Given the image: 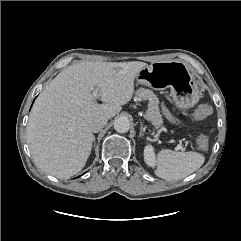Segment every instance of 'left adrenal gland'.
Returning a JSON list of instances; mask_svg holds the SVG:
<instances>
[{
	"label": "left adrenal gland",
	"mask_w": 241,
	"mask_h": 241,
	"mask_svg": "<svg viewBox=\"0 0 241 241\" xmlns=\"http://www.w3.org/2000/svg\"><path fill=\"white\" fill-rule=\"evenodd\" d=\"M141 129H140V134H139V136L141 137V136H143L144 135V132H145V127H143V124L141 123Z\"/></svg>",
	"instance_id": "a2214340"
}]
</instances>
